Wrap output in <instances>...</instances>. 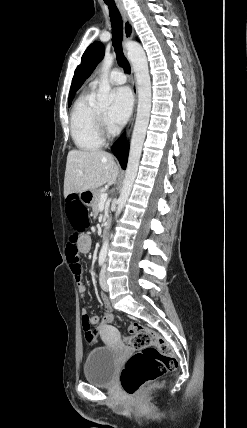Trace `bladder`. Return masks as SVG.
<instances>
[{
  "instance_id": "bladder-1",
  "label": "bladder",
  "mask_w": 247,
  "mask_h": 428,
  "mask_svg": "<svg viewBox=\"0 0 247 428\" xmlns=\"http://www.w3.org/2000/svg\"><path fill=\"white\" fill-rule=\"evenodd\" d=\"M118 368V356L115 349L96 347L92 349L84 364V378L87 382L107 386L112 384Z\"/></svg>"
}]
</instances>
